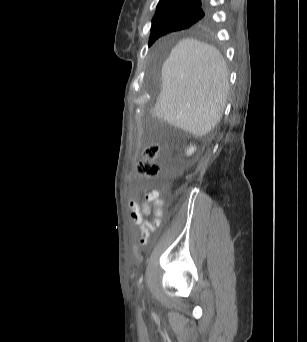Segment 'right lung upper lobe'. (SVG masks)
<instances>
[{
    "instance_id": "cb5924a9",
    "label": "right lung upper lobe",
    "mask_w": 307,
    "mask_h": 342,
    "mask_svg": "<svg viewBox=\"0 0 307 342\" xmlns=\"http://www.w3.org/2000/svg\"><path fill=\"white\" fill-rule=\"evenodd\" d=\"M206 4L207 2L205 0H160L152 22L158 15L167 11L187 9L204 10V14L197 22L185 28L191 32H204L208 29L210 22L209 14L206 10Z\"/></svg>"
}]
</instances>
